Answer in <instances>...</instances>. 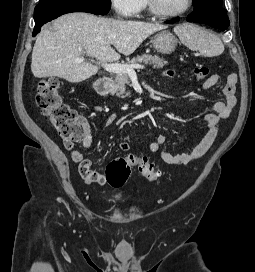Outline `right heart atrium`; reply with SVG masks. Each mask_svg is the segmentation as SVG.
I'll list each match as a JSON object with an SVG mask.
<instances>
[{"label": "right heart atrium", "instance_id": "1", "mask_svg": "<svg viewBox=\"0 0 255 272\" xmlns=\"http://www.w3.org/2000/svg\"><path fill=\"white\" fill-rule=\"evenodd\" d=\"M114 10L125 17L137 15L141 9L142 0H110Z\"/></svg>", "mask_w": 255, "mask_h": 272}]
</instances>
